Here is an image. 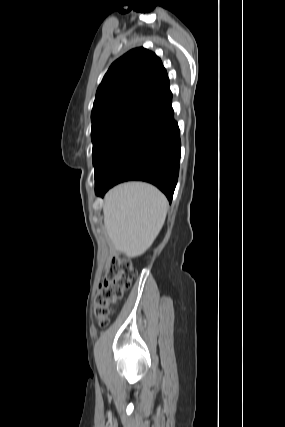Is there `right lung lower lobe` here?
I'll list each match as a JSON object with an SVG mask.
<instances>
[{
  "label": "right lung lower lobe",
  "mask_w": 285,
  "mask_h": 427,
  "mask_svg": "<svg viewBox=\"0 0 285 427\" xmlns=\"http://www.w3.org/2000/svg\"><path fill=\"white\" fill-rule=\"evenodd\" d=\"M169 91L151 105L122 140L104 169L95 176V193L123 181L142 180L157 186L171 202L178 179L179 128L173 119Z\"/></svg>",
  "instance_id": "1"
}]
</instances>
